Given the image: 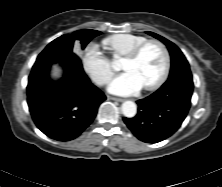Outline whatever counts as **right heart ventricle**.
I'll return each mask as SVG.
<instances>
[{"label": "right heart ventricle", "instance_id": "e07e8e85", "mask_svg": "<svg viewBox=\"0 0 222 187\" xmlns=\"http://www.w3.org/2000/svg\"><path fill=\"white\" fill-rule=\"evenodd\" d=\"M146 40L147 38L144 36L122 33L105 38L103 43L113 55L125 57Z\"/></svg>", "mask_w": 222, "mask_h": 187}]
</instances>
